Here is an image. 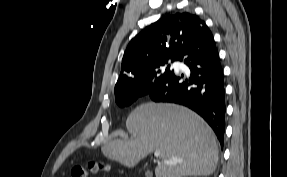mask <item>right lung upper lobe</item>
<instances>
[{"mask_svg": "<svg viewBox=\"0 0 287 177\" xmlns=\"http://www.w3.org/2000/svg\"><path fill=\"white\" fill-rule=\"evenodd\" d=\"M207 29L203 20L189 13H177L152 23L128 44L115 87L138 84L146 71L160 61H177L186 45Z\"/></svg>", "mask_w": 287, "mask_h": 177, "instance_id": "right-lung-upper-lobe-1", "label": "right lung upper lobe"}]
</instances>
